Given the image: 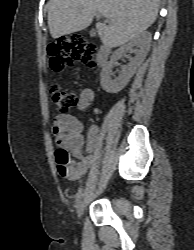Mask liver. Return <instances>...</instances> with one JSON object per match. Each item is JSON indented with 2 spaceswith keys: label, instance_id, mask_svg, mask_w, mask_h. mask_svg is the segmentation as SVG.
<instances>
[{
  "label": "liver",
  "instance_id": "liver-1",
  "mask_svg": "<svg viewBox=\"0 0 194 250\" xmlns=\"http://www.w3.org/2000/svg\"><path fill=\"white\" fill-rule=\"evenodd\" d=\"M160 0H49L48 26L53 38L81 31L96 13L110 19L97 23V33L107 47H118L145 31L156 20Z\"/></svg>",
  "mask_w": 194,
  "mask_h": 250
}]
</instances>
